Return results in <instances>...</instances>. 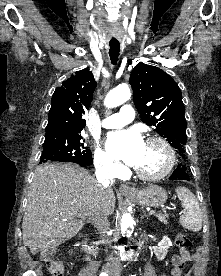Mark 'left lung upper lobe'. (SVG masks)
<instances>
[{
	"label": "left lung upper lobe",
	"instance_id": "obj_1",
	"mask_svg": "<svg viewBox=\"0 0 221 276\" xmlns=\"http://www.w3.org/2000/svg\"><path fill=\"white\" fill-rule=\"evenodd\" d=\"M129 83L141 120L154 127L185 159V106L178 84L163 70L143 63L137 64L132 70Z\"/></svg>",
	"mask_w": 221,
	"mask_h": 276
}]
</instances>
